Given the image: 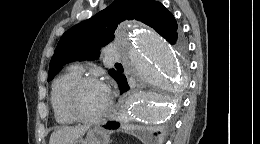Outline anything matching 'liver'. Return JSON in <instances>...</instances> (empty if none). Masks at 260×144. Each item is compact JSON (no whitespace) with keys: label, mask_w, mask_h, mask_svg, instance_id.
Masks as SVG:
<instances>
[{"label":"liver","mask_w":260,"mask_h":144,"mask_svg":"<svg viewBox=\"0 0 260 144\" xmlns=\"http://www.w3.org/2000/svg\"><path fill=\"white\" fill-rule=\"evenodd\" d=\"M87 130L88 127L84 126L61 127L51 134L49 144H71L81 138Z\"/></svg>","instance_id":"obj_1"}]
</instances>
